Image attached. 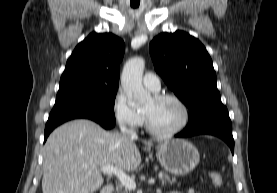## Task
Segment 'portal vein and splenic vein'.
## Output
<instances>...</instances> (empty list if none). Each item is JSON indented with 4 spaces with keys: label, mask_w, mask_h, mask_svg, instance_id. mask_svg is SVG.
Segmentation results:
<instances>
[{
    "label": "portal vein and splenic vein",
    "mask_w": 277,
    "mask_h": 193,
    "mask_svg": "<svg viewBox=\"0 0 277 193\" xmlns=\"http://www.w3.org/2000/svg\"><path fill=\"white\" fill-rule=\"evenodd\" d=\"M102 172L107 174H114L117 176V178L120 180L121 184L125 186V188L129 190H135L136 189V183L135 180L131 177H129L123 170H121L118 167L114 166H103L100 168ZM148 184H154L155 179L150 178L148 179Z\"/></svg>",
    "instance_id": "18ae733b"
}]
</instances>
